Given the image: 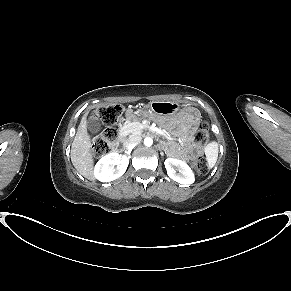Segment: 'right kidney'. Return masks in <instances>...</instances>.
<instances>
[{"instance_id": "obj_1", "label": "right kidney", "mask_w": 291, "mask_h": 291, "mask_svg": "<svg viewBox=\"0 0 291 291\" xmlns=\"http://www.w3.org/2000/svg\"><path fill=\"white\" fill-rule=\"evenodd\" d=\"M129 164V157L116 152L103 156L94 167V177L101 182H110L121 177ZM117 167L114 169V166Z\"/></svg>"}]
</instances>
